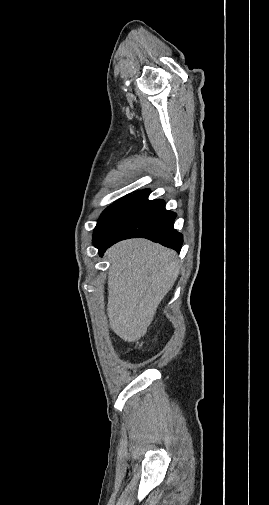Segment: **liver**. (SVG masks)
Masks as SVG:
<instances>
[{
	"instance_id": "1",
	"label": "liver",
	"mask_w": 269,
	"mask_h": 505,
	"mask_svg": "<svg viewBox=\"0 0 269 505\" xmlns=\"http://www.w3.org/2000/svg\"><path fill=\"white\" fill-rule=\"evenodd\" d=\"M107 314L111 329L124 341L136 342L147 331L156 309L180 270L173 250L146 239L121 241L106 252Z\"/></svg>"
}]
</instances>
